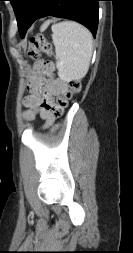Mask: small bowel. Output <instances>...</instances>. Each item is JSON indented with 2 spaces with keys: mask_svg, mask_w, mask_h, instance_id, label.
<instances>
[{
  "mask_svg": "<svg viewBox=\"0 0 133 253\" xmlns=\"http://www.w3.org/2000/svg\"><path fill=\"white\" fill-rule=\"evenodd\" d=\"M53 68L52 60L37 63L35 72L27 85L29 95L23 100L25 107L23 118L26 121H32L39 115L44 120L41 128L51 130L57 127L56 119L59 116L53 111L56 105L54 98L59 99L68 91V84L53 76Z\"/></svg>",
  "mask_w": 133,
  "mask_h": 253,
  "instance_id": "obj_1",
  "label": "small bowel"
}]
</instances>
